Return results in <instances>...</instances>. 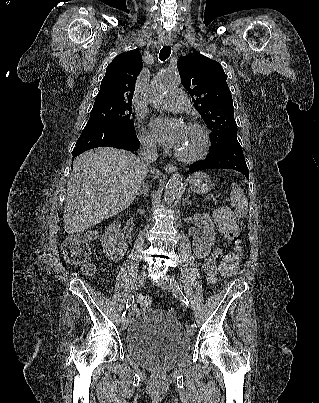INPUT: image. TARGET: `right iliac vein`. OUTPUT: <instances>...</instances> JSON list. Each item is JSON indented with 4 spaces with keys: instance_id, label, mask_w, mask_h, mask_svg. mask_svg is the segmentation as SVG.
Listing matches in <instances>:
<instances>
[{
    "instance_id": "1",
    "label": "right iliac vein",
    "mask_w": 319,
    "mask_h": 403,
    "mask_svg": "<svg viewBox=\"0 0 319 403\" xmlns=\"http://www.w3.org/2000/svg\"><path fill=\"white\" fill-rule=\"evenodd\" d=\"M146 278H147V272L145 270H143L137 277L136 279V283H135V289H139L141 288L145 282H146ZM128 326V319L125 318L122 323H121V328L123 330H126Z\"/></svg>"
}]
</instances>
